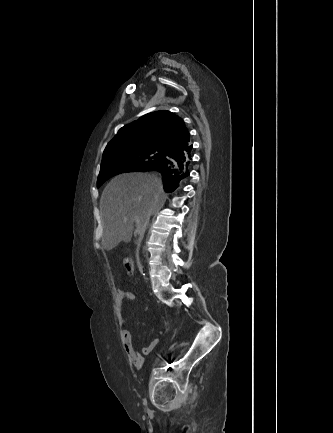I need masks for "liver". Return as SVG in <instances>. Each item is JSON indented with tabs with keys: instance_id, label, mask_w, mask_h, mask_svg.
Listing matches in <instances>:
<instances>
[{
	"instance_id": "6515ba94",
	"label": "liver",
	"mask_w": 333,
	"mask_h": 433,
	"mask_svg": "<svg viewBox=\"0 0 333 433\" xmlns=\"http://www.w3.org/2000/svg\"><path fill=\"white\" fill-rule=\"evenodd\" d=\"M161 180L149 173H126L116 176L102 192L101 219L104 228L102 248L110 251L120 242H130L134 218L142 229L145 218L153 215L165 202Z\"/></svg>"
}]
</instances>
